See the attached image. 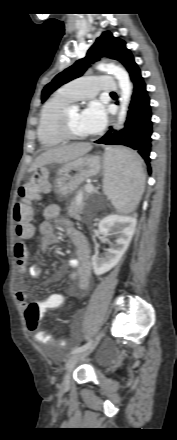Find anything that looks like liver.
<instances>
[{
  "mask_svg": "<svg viewBox=\"0 0 177 440\" xmlns=\"http://www.w3.org/2000/svg\"><path fill=\"white\" fill-rule=\"evenodd\" d=\"M91 149L92 145L90 143H75L49 149L36 158L28 172H32L41 166L51 163H68L85 155L91 151ZM116 168H118L117 164Z\"/></svg>",
  "mask_w": 177,
  "mask_h": 440,
  "instance_id": "liver-1",
  "label": "liver"
}]
</instances>
